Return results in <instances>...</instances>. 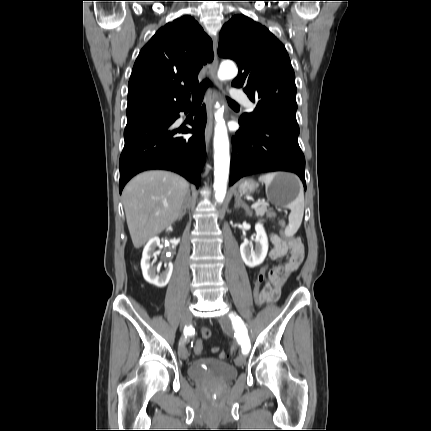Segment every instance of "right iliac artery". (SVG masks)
I'll list each match as a JSON object with an SVG mask.
<instances>
[{
    "label": "right iliac artery",
    "instance_id": "1",
    "mask_svg": "<svg viewBox=\"0 0 431 431\" xmlns=\"http://www.w3.org/2000/svg\"><path fill=\"white\" fill-rule=\"evenodd\" d=\"M192 333V327H185L184 329V336L187 338L188 335Z\"/></svg>",
    "mask_w": 431,
    "mask_h": 431
}]
</instances>
